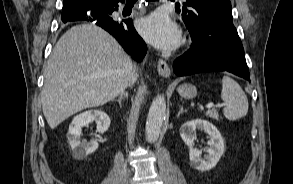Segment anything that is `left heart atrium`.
<instances>
[{
    "mask_svg": "<svg viewBox=\"0 0 293 184\" xmlns=\"http://www.w3.org/2000/svg\"><path fill=\"white\" fill-rule=\"evenodd\" d=\"M138 28L141 35L157 48L173 49L180 42L181 32L178 26L162 12H155L143 18Z\"/></svg>",
    "mask_w": 293,
    "mask_h": 184,
    "instance_id": "obj_1",
    "label": "left heart atrium"
}]
</instances>
